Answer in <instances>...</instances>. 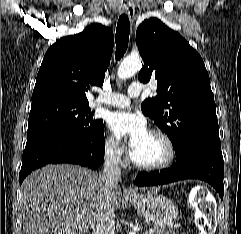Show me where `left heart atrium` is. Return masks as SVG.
<instances>
[{
    "label": "left heart atrium",
    "instance_id": "obj_1",
    "mask_svg": "<svg viewBox=\"0 0 241 234\" xmlns=\"http://www.w3.org/2000/svg\"><path fill=\"white\" fill-rule=\"evenodd\" d=\"M109 127L112 132L128 141L131 152L147 137L149 131L140 115L131 112H117L110 116Z\"/></svg>",
    "mask_w": 241,
    "mask_h": 234
}]
</instances>
